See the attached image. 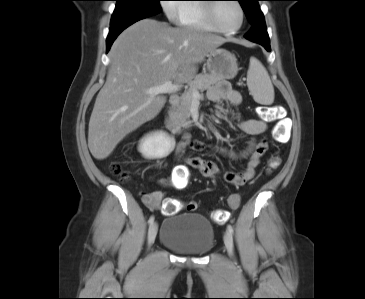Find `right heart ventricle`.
I'll use <instances>...</instances> for the list:
<instances>
[{
    "label": "right heart ventricle",
    "instance_id": "e07e8e85",
    "mask_svg": "<svg viewBox=\"0 0 365 299\" xmlns=\"http://www.w3.org/2000/svg\"><path fill=\"white\" fill-rule=\"evenodd\" d=\"M178 23L182 26L206 31H213L206 19L205 4H181L178 16Z\"/></svg>",
    "mask_w": 365,
    "mask_h": 299
}]
</instances>
